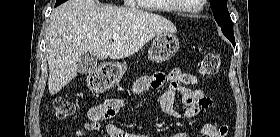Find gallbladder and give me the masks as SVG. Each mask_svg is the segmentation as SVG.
<instances>
[{"mask_svg":"<svg viewBox=\"0 0 280 137\" xmlns=\"http://www.w3.org/2000/svg\"><path fill=\"white\" fill-rule=\"evenodd\" d=\"M97 62V58L86 53L76 61L77 72L82 75H87L97 68Z\"/></svg>","mask_w":280,"mask_h":137,"instance_id":"bac80fb5","label":"gallbladder"}]
</instances>
